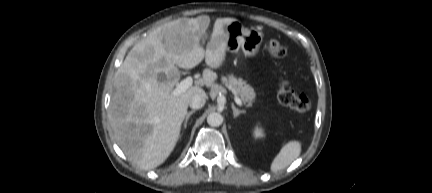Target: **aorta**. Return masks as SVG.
<instances>
[{"label":"aorta","instance_id":"1","mask_svg":"<svg viewBox=\"0 0 432 193\" xmlns=\"http://www.w3.org/2000/svg\"><path fill=\"white\" fill-rule=\"evenodd\" d=\"M207 123L212 127H218L223 123V116L218 112H212L207 116Z\"/></svg>","mask_w":432,"mask_h":193}]
</instances>
